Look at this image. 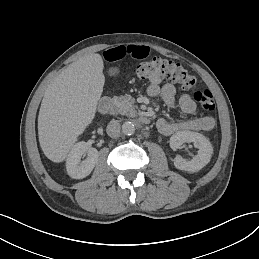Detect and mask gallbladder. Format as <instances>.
<instances>
[{"mask_svg":"<svg viewBox=\"0 0 259 259\" xmlns=\"http://www.w3.org/2000/svg\"><path fill=\"white\" fill-rule=\"evenodd\" d=\"M109 77H116L120 74V68L117 66H111L106 70Z\"/></svg>","mask_w":259,"mask_h":259,"instance_id":"gallbladder-1","label":"gallbladder"}]
</instances>
